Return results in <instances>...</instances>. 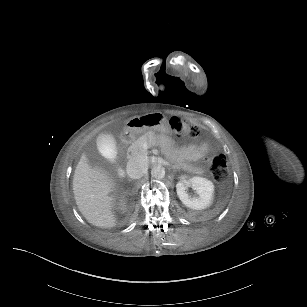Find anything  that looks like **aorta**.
Wrapping results in <instances>:
<instances>
[{"label": "aorta", "instance_id": "obj_1", "mask_svg": "<svg viewBox=\"0 0 307 307\" xmlns=\"http://www.w3.org/2000/svg\"><path fill=\"white\" fill-rule=\"evenodd\" d=\"M152 175H153V177H155L157 179L164 178L165 177V168L160 166V165L153 167Z\"/></svg>", "mask_w": 307, "mask_h": 307}]
</instances>
